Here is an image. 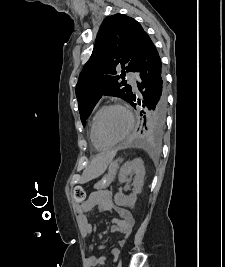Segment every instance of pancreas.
Listing matches in <instances>:
<instances>
[{
    "label": "pancreas",
    "mask_w": 225,
    "mask_h": 267,
    "mask_svg": "<svg viewBox=\"0 0 225 267\" xmlns=\"http://www.w3.org/2000/svg\"><path fill=\"white\" fill-rule=\"evenodd\" d=\"M117 169H118V163L111 162L108 168V173L94 185V189L97 190L106 189L114 181Z\"/></svg>",
    "instance_id": "1"
}]
</instances>
